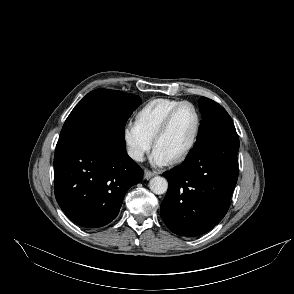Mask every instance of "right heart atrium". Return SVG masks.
<instances>
[{"mask_svg":"<svg viewBox=\"0 0 294 294\" xmlns=\"http://www.w3.org/2000/svg\"><path fill=\"white\" fill-rule=\"evenodd\" d=\"M122 138L129 157L140 162L152 145V139L149 138L136 124V122H127L122 129Z\"/></svg>","mask_w":294,"mask_h":294,"instance_id":"d8ad5b80","label":"right heart atrium"}]
</instances>
